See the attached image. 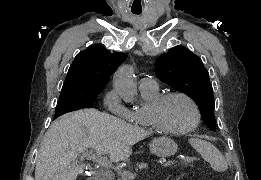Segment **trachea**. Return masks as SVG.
<instances>
[{
  "instance_id": "1",
  "label": "trachea",
  "mask_w": 261,
  "mask_h": 180,
  "mask_svg": "<svg viewBox=\"0 0 261 180\" xmlns=\"http://www.w3.org/2000/svg\"><path fill=\"white\" fill-rule=\"evenodd\" d=\"M135 15H140L141 11H132Z\"/></svg>"
}]
</instances>
